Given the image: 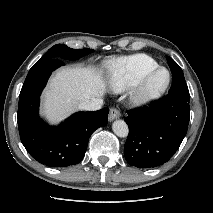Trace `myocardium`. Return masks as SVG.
<instances>
[{"label":"myocardium","mask_w":213,"mask_h":213,"mask_svg":"<svg viewBox=\"0 0 213 213\" xmlns=\"http://www.w3.org/2000/svg\"><path fill=\"white\" fill-rule=\"evenodd\" d=\"M166 72V81L159 87H152L151 82L160 72ZM171 83V73L165 67H157L147 73L133 88L130 95V104L134 107H144L158 100L168 89Z\"/></svg>","instance_id":"1"}]
</instances>
